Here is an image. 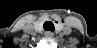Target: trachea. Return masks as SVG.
I'll return each instance as SVG.
<instances>
[{
  "instance_id": "1",
  "label": "trachea",
  "mask_w": 97,
  "mask_h": 48,
  "mask_svg": "<svg viewBox=\"0 0 97 48\" xmlns=\"http://www.w3.org/2000/svg\"><path fill=\"white\" fill-rule=\"evenodd\" d=\"M43 27L45 31H54V24L51 21H46Z\"/></svg>"
}]
</instances>
